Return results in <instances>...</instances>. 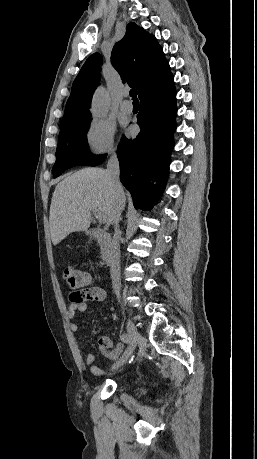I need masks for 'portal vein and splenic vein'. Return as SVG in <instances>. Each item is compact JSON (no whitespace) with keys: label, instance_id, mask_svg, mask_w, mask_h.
<instances>
[{"label":"portal vein and splenic vein","instance_id":"18ae733b","mask_svg":"<svg viewBox=\"0 0 257 459\" xmlns=\"http://www.w3.org/2000/svg\"><path fill=\"white\" fill-rule=\"evenodd\" d=\"M94 216L99 222H105L103 215L96 209L93 210Z\"/></svg>","mask_w":257,"mask_h":459}]
</instances>
